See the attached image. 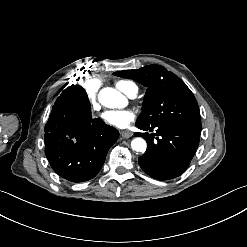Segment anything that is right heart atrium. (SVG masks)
Wrapping results in <instances>:
<instances>
[{
    "label": "right heart atrium",
    "instance_id": "d8ad5b80",
    "mask_svg": "<svg viewBox=\"0 0 247 247\" xmlns=\"http://www.w3.org/2000/svg\"><path fill=\"white\" fill-rule=\"evenodd\" d=\"M103 81L100 77H88L84 81L83 90L89 96V101L91 103L90 110L94 114H99L103 110L102 101L104 99V94L100 91Z\"/></svg>",
    "mask_w": 247,
    "mask_h": 247
}]
</instances>
